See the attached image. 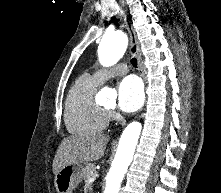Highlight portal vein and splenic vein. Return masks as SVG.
Masks as SVG:
<instances>
[{
  "instance_id": "1",
  "label": "portal vein and splenic vein",
  "mask_w": 221,
  "mask_h": 193,
  "mask_svg": "<svg viewBox=\"0 0 221 193\" xmlns=\"http://www.w3.org/2000/svg\"><path fill=\"white\" fill-rule=\"evenodd\" d=\"M98 176L97 172L92 176V178L89 180L90 182L94 181L96 177Z\"/></svg>"
}]
</instances>
